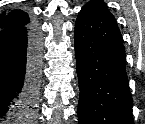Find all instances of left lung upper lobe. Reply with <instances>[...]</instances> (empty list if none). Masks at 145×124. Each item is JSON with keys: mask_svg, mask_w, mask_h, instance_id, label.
Returning a JSON list of instances; mask_svg holds the SVG:
<instances>
[{"mask_svg": "<svg viewBox=\"0 0 145 124\" xmlns=\"http://www.w3.org/2000/svg\"><path fill=\"white\" fill-rule=\"evenodd\" d=\"M86 5L97 6L98 8H100V9L106 11L107 13L111 14V13L108 11L106 5H105L102 1H100V0L90 1V2H88ZM111 15H112V14H111Z\"/></svg>", "mask_w": 145, "mask_h": 124, "instance_id": "obj_1", "label": "left lung upper lobe"}]
</instances>
